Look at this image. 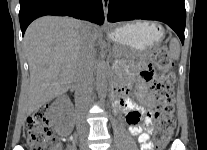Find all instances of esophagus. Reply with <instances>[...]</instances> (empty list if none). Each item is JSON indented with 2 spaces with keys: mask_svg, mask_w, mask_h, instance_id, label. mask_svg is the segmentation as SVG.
I'll return each instance as SVG.
<instances>
[{
  "mask_svg": "<svg viewBox=\"0 0 207 150\" xmlns=\"http://www.w3.org/2000/svg\"><path fill=\"white\" fill-rule=\"evenodd\" d=\"M102 5H103L105 23H107V14H108L109 0H102Z\"/></svg>",
  "mask_w": 207,
  "mask_h": 150,
  "instance_id": "1",
  "label": "esophagus"
}]
</instances>
